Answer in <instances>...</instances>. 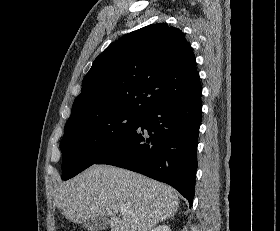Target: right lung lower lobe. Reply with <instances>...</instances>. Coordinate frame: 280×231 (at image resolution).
I'll return each mask as SVG.
<instances>
[{"label":"right lung lower lobe","instance_id":"right-lung-lower-lobe-1","mask_svg":"<svg viewBox=\"0 0 280 231\" xmlns=\"http://www.w3.org/2000/svg\"><path fill=\"white\" fill-rule=\"evenodd\" d=\"M201 94L202 90L151 108L136 129L95 164L122 167L165 182L191 207L198 166Z\"/></svg>","mask_w":280,"mask_h":231}]
</instances>
